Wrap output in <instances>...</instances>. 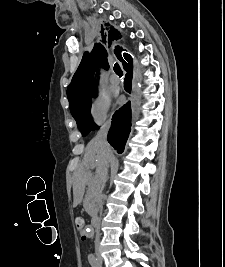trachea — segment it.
Masks as SVG:
<instances>
[{"instance_id": "1", "label": "trachea", "mask_w": 225, "mask_h": 267, "mask_svg": "<svg viewBox=\"0 0 225 267\" xmlns=\"http://www.w3.org/2000/svg\"><path fill=\"white\" fill-rule=\"evenodd\" d=\"M114 71L118 75H122L123 74V72H122V70H121V68H120V66H119L118 63H115V65H114Z\"/></svg>"}]
</instances>
